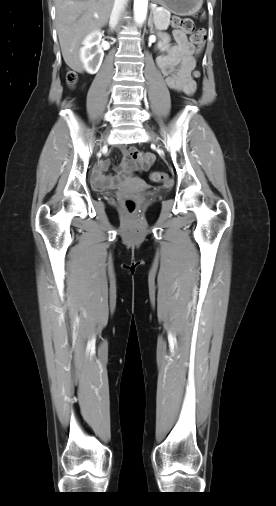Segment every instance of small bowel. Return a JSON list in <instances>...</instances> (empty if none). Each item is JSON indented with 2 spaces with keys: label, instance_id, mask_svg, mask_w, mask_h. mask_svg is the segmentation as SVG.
Instances as JSON below:
<instances>
[{
  "label": "small bowel",
  "instance_id": "1",
  "mask_svg": "<svg viewBox=\"0 0 276 506\" xmlns=\"http://www.w3.org/2000/svg\"><path fill=\"white\" fill-rule=\"evenodd\" d=\"M174 37L177 45L170 47L166 56H159L157 63L170 89L191 95L196 88L195 82L190 76L194 66L192 59L193 46L186 34L179 30L174 32ZM122 152V162L114 176L105 177L103 172L109 163L108 161L99 162L93 172L94 184L98 189H105L123 183L129 178L137 165L142 169H148L153 162L151 154H143L135 147L123 148Z\"/></svg>",
  "mask_w": 276,
  "mask_h": 506
}]
</instances>
